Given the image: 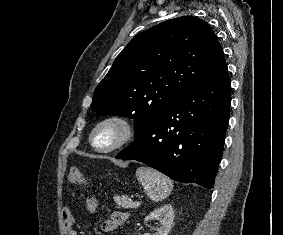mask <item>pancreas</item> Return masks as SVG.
Here are the masks:
<instances>
[{
	"mask_svg": "<svg viewBox=\"0 0 283 235\" xmlns=\"http://www.w3.org/2000/svg\"><path fill=\"white\" fill-rule=\"evenodd\" d=\"M114 201L116 202L118 206H121L125 209H135L139 207V205L136 202H133L132 200H130L129 197H126V196L115 195Z\"/></svg>",
	"mask_w": 283,
	"mask_h": 235,
	"instance_id": "pancreas-1",
	"label": "pancreas"
}]
</instances>
